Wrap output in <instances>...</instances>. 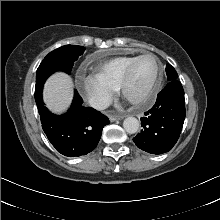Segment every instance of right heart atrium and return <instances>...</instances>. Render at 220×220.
Here are the masks:
<instances>
[{"label": "right heart atrium", "mask_w": 220, "mask_h": 220, "mask_svg": "<svg viewBox=\"0 0 220 220\" xmlns=\"http://www.w3.org/2000/svg\"><path fill=\"white\" fill-rule=\"evenodd\" d=\"M78 85L83 97L97 110L107 107L116 92V88L98 75L79 76Z\"/></svg>", "instance_id": "d8ad5b80"}]
</instances>
